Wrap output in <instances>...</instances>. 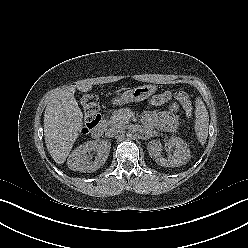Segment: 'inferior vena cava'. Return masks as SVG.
<instances>
[{
    "mask_svg": "<svg viewBox=\"0 0 248 248\" xmlns=\"http://www.w3.org/2000/svg\"><path fill=\"white\" fill-rule=\"evenodd\" d=\"M121 131H122V129L119 127H112L110 129H108V131L106 132V135L109 137H113V136L120 134Z\"/></svg>",
    "mask_w": 248,
    "mask_h": 248,
    "instance_id": "602c4592",
    "label": "inferior vena cava"
}]
</instances>
